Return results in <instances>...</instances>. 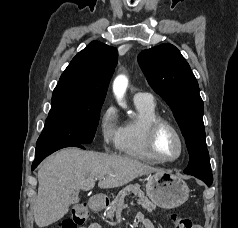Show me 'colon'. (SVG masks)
Instances as JSON below:
<instances>
[{"label": "colon", "instance_id": "1", "mask_svg": "<svg viewBox=\"0 0 238 228\" xmlns=\"http://www.w3.org/2000/svg\"><path fill=\"white\" fill-rule=\"evenodd\" d=\"M89 212L85 205L76 204L72 207L70 216L62 223V228H80L87 220ZM174 228H200L187 217L173 215Z\"/></svg>", "mask_w": 238, "mask_h": 228}]
</instances>
